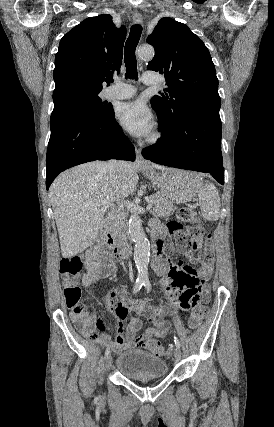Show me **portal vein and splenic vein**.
Returning a JSON list of instances; mask_svg holds the SVG:
<instances>
[{"label": "portal vein and splenic vein", "instance_id": "18ae733b", "mask_svg": "<svg viewBox=\"0 0 274 427\" xmlns=\"http://www.w3.org/2000/svg\"><path fill=\"white\" fill-rule=\"evenodd\" d=\"M150 208H152V204H149V206H147L146 210H150Z\"/></svg>", "mask_w": 274, "mask_h": 427}]
</instances>
